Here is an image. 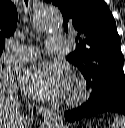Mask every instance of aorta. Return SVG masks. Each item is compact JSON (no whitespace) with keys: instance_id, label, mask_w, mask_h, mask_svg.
Returning a JSON list of instances; mask_svg holds the SVG:
<instances>
[{"instance_id":"obj_1","label":"aorta","mask_w":125,"mask_h":128,"mask_svg":"<svg viewBox=\"0 0 125 128\" xmlns=\"http://www.w3.org/2000/svg\"><path fill=\"white\" fill-rule=\"evenodd\" d=\"M62 24L60 11L50 4L38 8L34 14V27L39 32L57 30ZM41 128H64L59 114L53 113L42 123Z\"/></svg>"}]
</instances>
